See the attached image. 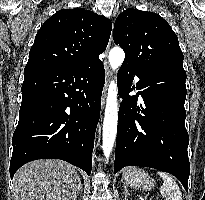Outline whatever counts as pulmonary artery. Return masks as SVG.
<instances>
[{
  "mask_svg": "<svg viewBox=\"0 0 205 200\" xmlns=\"http://www.w3.org/2000/svg\"><path fill=\"white\" fill-rule=\"evenodd\" d=\"M135 80L137 81V80H138V78H137V77H135Z\"/></svg>",
  "mask_w": 205,
  "mask_h": 200,
  "instance_id": "1",
  "label": "pulmonary artery"
}]
</instances>
